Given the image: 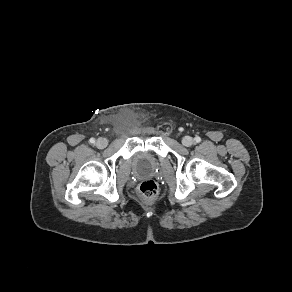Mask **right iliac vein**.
Returning <instances> with one entry per match:
<instances>
[{"instance_id":"63e3f726","label":"right iliac vein","mask_w":292,"mask_h":292,"mask_svg":"<svg viewBox=\"0 0 292 292\" xmlns=\"http://www.w3.org/2000/svg\"><path fill=\"white\" fill-rule=\"evenodd\" d=\"M108 142L105 138H98L97 141H96V146L99 148V149H103L107 146Z\"/></svg>"}]
</instances>
